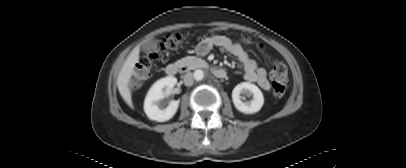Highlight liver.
Returning <instances> with one entry per match:
<instances>
[{
    "instance_id": "1",
    "label": "liver",
    "mask_w": 406,
    "mask_h": 168,
    "mask_svg": "<svg viewBox=\"0 0 406 168\" xmlns=\"http://www.w3.org/2000/svg\"><path fill=\"white\" fill-rule=\"evenodd\" d=\"M139 61V49L134 48L131 53L128 55L127 59L123 67L121 68L118 78H117V86L119 93L123 100L130 108H134L132 102V92L129 87L131 82V76L134 72L135 64Z\"/></svg>"
}]
</instances>
